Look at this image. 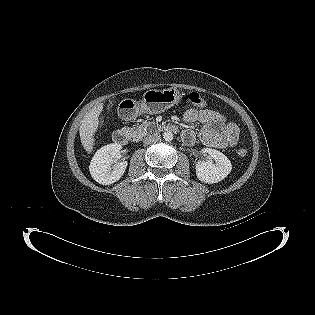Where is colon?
<instances>
[{"label": "colon", "mask_w": 315, "mask_h": 315, "mask_svg": "<svg viewBox=\"0 0 315 315\" xmlns=\"http://www.w3.org/2000/svg\"><path fill=\"white\" fill-rule=\"evenodd\" d=\"M187 102L195 106L197 108H204L207 105V101L204 97L200 96L196 92H191L187 95ZM238 155L244 157L247 155V150L245 148H241L238 150Z\"/></svg>", "instance_id": "5ec220e1"}]
</instances>
